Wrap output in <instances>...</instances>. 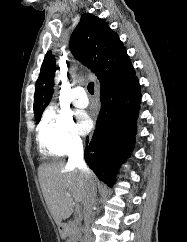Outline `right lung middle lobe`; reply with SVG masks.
Wrapping results in <instances>:
<instances>
[{
  "instance_id": "1",
  "label": "right lung middle lobe",
  "mask_w": 187,
  "mask_h": 242,
  "mask_svg": "<svg viewBox=\"0 0 187 242\" xmlns=\"http://www.w3.org/2000/svg\"><path fill=\"white\" fill-rule=\"evenodd\" d=\"M41 115L36 117V122L38 123L40 121Z\"/></svg>"
}]
</instances>
